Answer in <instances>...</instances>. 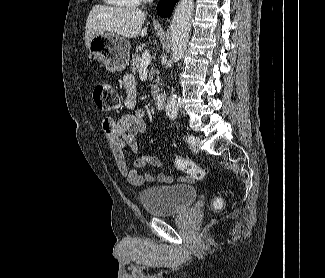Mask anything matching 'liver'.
Here are the masks:
<instances>
[{
	"mask_svg": "<svg viewBox=\"0 0 325 278\" xmlns=\"http://www.w3.org/2000/svg\"><path fill=\"white\" fill-rule=\"evenodd\" d=\"M146 13L140 9L95 5L89 13L85 27V45L88 48L96 33L115 34L123 38L144 37L147 28L142 29Z\"/></svg>",
	"mask_w": 325,
	"mask_h": 278,
	"instance_id": "obj_1",
	"label": "liver"
}]
</instances>
